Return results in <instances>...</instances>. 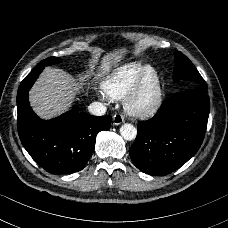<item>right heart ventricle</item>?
Here are the masks:
<instances>
[{"instance_id":"obj_1","label":"right heart ventricle","mask_w":228,"mask_h":228,"mask_svg":"<svg viewBox=\"0 0 228 228\" xmlns=\"http://www.w3.org/2000/svg\"><path fill=\"white\" fill-rule=\"evenodd\" d=\"M148 64L132 61L117 66L102 82V94L111 101L125 98L133 89Z\"/></svg>"}]
</instances>
